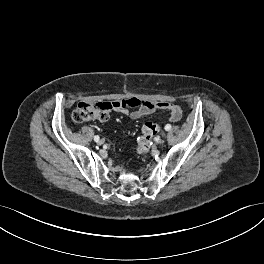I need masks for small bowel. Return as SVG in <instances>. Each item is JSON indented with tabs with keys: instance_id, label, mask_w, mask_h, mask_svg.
Here are the masks:
<instances>
[{
	"instance_id": "small-bowel-1",
	"label": "small bowel",
	"mask_w": 264,
	"mask_h": 264,
	"mask_svg": "<svg viewBox=\"0 0 264 264\" xmlns=\"http://www.w3.org/2000/svg\"><path fill=\"white\" fill-rule=\"evenodd\" d=\"M130 105L119 108L118 110L124 114L130 116L132 119H139L141 117L150 115L157 110H167L169 111V120L171 122H176L180 120L182 116V110L178 105L169 102H157V101H141L136 98L128 99ZM133 110L130 111L129 109Z\"/></svg>"
}]
</instances>
